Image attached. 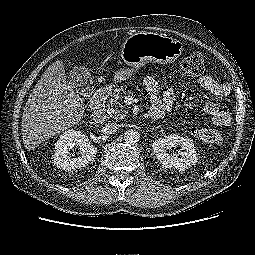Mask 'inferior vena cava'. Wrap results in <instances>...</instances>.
Wrapping results in <instances>:
<instances>
[{"label": "inferior vena cava", "mask_w": 255, "mask_h": 255, "mask_svg": "<svg viewBox=\"0 0 255 255\" xmlns=\"http://www.w3.org/2000/svg\"><path fill=\"white\" fill-rule=\"evenodd\" d=\"M119 124L108 123L103 127V133L105 134H114L118 130Z\"/></svg>", "instance_id": "602c4592"}]
</instances>
